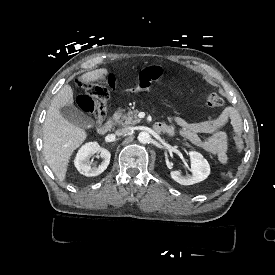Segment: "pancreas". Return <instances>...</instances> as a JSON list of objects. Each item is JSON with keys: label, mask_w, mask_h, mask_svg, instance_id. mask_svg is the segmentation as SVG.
I'll use <instances>...</instances> for the list:
<instances>
[{"label": "pancreas", "mask_w": 275, "mask_h": 275, "mask_svg": "<svg viewBox=\"0 0 275 275\" xmlns=\"http://www.w3.org/2000/svg\"><path fill=\"white\" fill-rule=\"evenodd\" d=\"M137 114L138 110H131L124 113L123 109L118 108L113 114V119L123 127H128L140 123L141 120L138 118Z\"/></svg>", "instance_id": "pancreas-1"}]
</instances>
